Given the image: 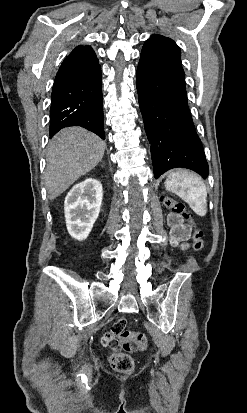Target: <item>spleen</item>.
Segmentation results:
<instances>
[{"mask_svg": "<svg viewBox=\"0 0 247 413\" xmlns=\"http://www.w3.org/2000/svg\"><path fill=\"white\" fill-rule=\"evenodd\" d=\"M165 186L190 204L196 215L204 217L207 211V188L199 174L178 168L165 180Z\"/></svg>", "mask_w": 247, "mask_h": 413, "instance_id": "1", "label": "spleen"}]
</instances>
